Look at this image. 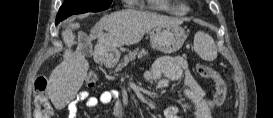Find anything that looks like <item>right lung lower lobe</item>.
Masks as SVG:
<instances>
[{"instance_id": "98d812e1", "label": "right lung lower lobe", "mask_w": 273, "mask_h": 118, "mask_svg": "<svg viewBox=\"0 0 273 118\" xmlns=\"http://www.w3.org/2000/svg\"><path fill=\"white\" fill-rule=\"evenodd\" d=\"M65 18L57 16L55 24L57 25L60 21L64 20Z\"/></svg>"}]
</instances>
